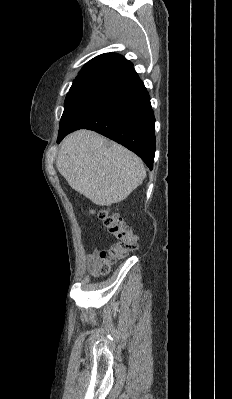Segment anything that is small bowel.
Here are the masks:
<instances>
[{
    "label": "small bowel",
    "instance_id": "obj_1",
    "mask_svg": "<svg viewBox=\"0 0 232 399\" xmlns=\"http://www.w3.org/2000/svg\"><path fill=\"white\" fill-rule=\"evenodd\" d=\"M94 268V259L92 255H89L86 261V270L91 273Z\"/></svg>",
    "mask_w": 232,
    "mask_h": 399
}]
</instances>
